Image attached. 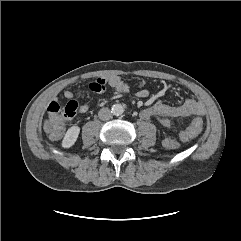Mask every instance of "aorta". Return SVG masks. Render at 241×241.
<instances>
[{
  "label": "aorta",
  "mask_w": 241,
  "mask_h": 241,
  "mask_svg": "<svg viewBox=\"0 0 241 241\" xmlns=\"http://www.w3.org/2000/svg\"><path fill=\"white\" fill-rule=\"evenodd\" d=\"M124 112V108L121 104H115L112 106V113L116 116L121 115Z\"/></svg>",
  "instance_id": "1"
}]
</instances>
